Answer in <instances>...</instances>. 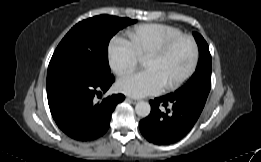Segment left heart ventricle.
Here are the masks:
<instances>
[{"label":"left heart ventricle","instance_id":"1","mask_svg":"<svg viewBox=\"0 0 261 162\" xmlns=\"http://www.w3.org/2000/svg\"><path fill=\"white\" fill-rule=\"evenodd\" d=\"M192 58L191 43L188 40H181L166 55L145 59L144 67L156 71L166 86L176 81L189 69Z\"/></svg>","mask_w":261,"mask_h":162}]
</instances>
